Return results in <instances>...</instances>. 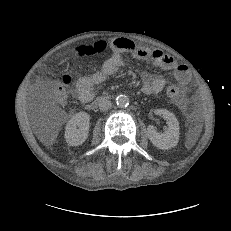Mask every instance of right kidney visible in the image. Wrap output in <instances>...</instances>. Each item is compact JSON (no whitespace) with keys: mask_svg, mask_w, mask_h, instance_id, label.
<instances>
[{"mask_svg":"<svg viewBox=\"0 0 231 231\" xmlns=\"http://www.w3.org/2000/svg\"><path fill=\"white\" fill-rule=\"evenodd\" d=\"M90 116L86 112L74 114L65 127V140L71 146L85 142L89 133Z\"/></svg>","mask_w":231,"mask_h":231,"instance_id":"obj_1","label":"right kidney"}]
</instances>
